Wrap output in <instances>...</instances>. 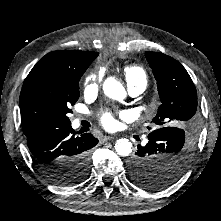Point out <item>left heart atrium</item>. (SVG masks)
I'll return each instance as SVG.
<instances>
[{"label":"left heart atrium","mask_w":221,"mask_h":221,"mask_svg":"<svg viewBox=\"0 0 221 221\" xmlns=\"http://www.w3.org/2000/svg\"><path fill=\"white\" fill-rule=\"evenodd\" d=\"M100 122L106 129H112L115 125L114 115L110 111H103L100 114Z\"/></svg>","instance_id":"1"}]
</instances>
